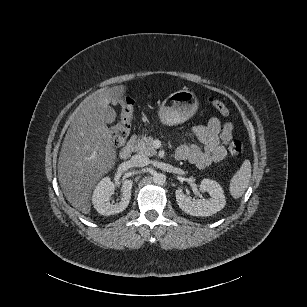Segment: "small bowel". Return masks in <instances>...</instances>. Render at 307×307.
<instances>
[{
    "label": "small bowel",
    "instance_id": "small-bowel-1",
    "mask_svg": "<svg viewBox=\"0 0 307 307\" xmlns=\"http://www.w3.org/2000/svg\"><path fill=\"white\" fill-rule=\"evenodd\" d=\"M192 134L203 147L185 143L177 148L175 156L205 168L221 162L227 156V147L233 140V124L222 123L219 118L211 117L206 125L194 126Z\"/></svg>",
    "mask_w": 307,
    "mask_h": 307
}]
</instances>
